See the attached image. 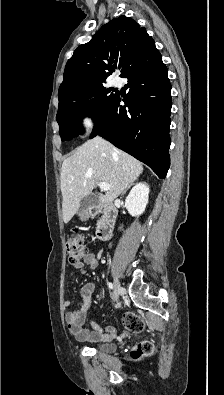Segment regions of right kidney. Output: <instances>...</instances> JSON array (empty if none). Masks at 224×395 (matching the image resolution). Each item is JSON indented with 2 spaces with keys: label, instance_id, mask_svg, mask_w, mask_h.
<instances>
[{
  "label": "right kidney",
  "instance_id": "obj_1",
  "mask_svg": "<svg viewBox=\"0 0 224 395\" xmlns=\"http://www.w3.org/2000/svg\"><path fill=\"white\" fill-rule=\"evenodd\" d=\"M149 186L146 183L135 185L125 200V207L133 217L140 216L148 204Z\"/></svg>",
  "mask_w": 224,
  "mask_h": 395
}]
</instances>
